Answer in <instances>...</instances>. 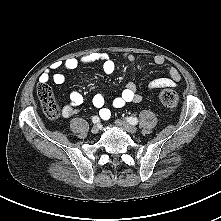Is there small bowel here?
Masks as SVG:
<instances>
[{
    "mask_svg": "<svg viewBox=\"0 0 221 221\" xmlns=\"http://www.w3.org/2000/svg\"><path fill=\"white\" fill-rule=\"evenodd\" d=\"M123 58L130 63L134 68L136 57L132 53H124ZM94 62H100L102 64V70L106 75H110L114 72L115 63L106 52H92L79 57H71L64 62L55 63L53 69L57 70L64 68L67 71L76 69L81 64H90ZM154 63L157 65H163L165 59L161 55H157L154 58ZM167 78H158L153 80L149 84L150 89H157L163 87H175L181 80L179 71L173 67H167ZM50 80L56 85H62L66 81V75L63 72H55L52 76L48 72H44L39 77L40 83H48ZM141 96L137 93L136 84L132 81L128 82L126 87L112 100V106L116 109L123 108L128 103L140 102ZM85 102V97L78 91H72L69 95V102L62 109V116L65 118L72 117L77 113V108ZM106 98L103 94H96L92 97V104L95 108L99 109V116L103 120H108L111 117L110 109L105 107Z\"/></svg>",
    "mask_w": 221,
    "mask_h": 221,
    "instance_id": "small-bowel-1",
    "label": "small bowel"
}]
</instances>
